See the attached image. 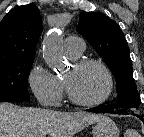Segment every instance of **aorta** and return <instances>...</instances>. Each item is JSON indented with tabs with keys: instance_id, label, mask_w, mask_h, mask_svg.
<instances>
[{
	"instance_id": "1",
	"label": "aorta",
	"mask_w": 144,
	"mask_h": 137,
	"mask_svg": "<svg viewBox=\"0 0 144 137\" xmlns=\"http://www.w3.org/2000/svg\"><path fill=\"white\" fill-rule=\"evenodd\" d=\"M62 37L57 31L51 32L43 39V58L50 68L63 66Z\"/></svg>"
}]
</instances>
